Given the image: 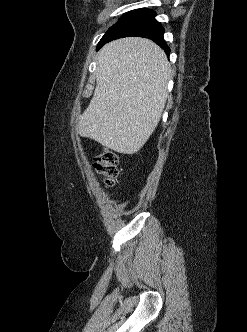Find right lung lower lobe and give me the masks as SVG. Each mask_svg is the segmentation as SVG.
Segmentation results:
<instances>
[{
    "label": "right lung lower lobe",
    "mask_w": 247,
    "mask_h": 332,
    "mask_svg": "<svg viewBox=\"0 0 247 332\" xmlns=\"http://www.w3.org/2000/svg\"><path fill=\"white\" fill-rule=\"evenodd\" d=\"M154 17L155 13L149 9H138L129 13L105 33L97 45V50L112 40L137 36L152 39L169 54L170 49L163 39L164 28Z\"/></svg>",
    "instance_id": "98d812e1"
}]
</instances>
